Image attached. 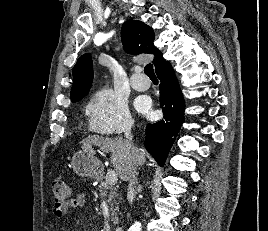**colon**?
Masks as SVG:
<instances>
[{"instance_id":"5ec220e1","label":"colon","mask_w":268,"mask_h":231,"mask_svg":"<svg viewBox=\"0 0 268 231\" xmlns=\"http://www.w3.org/2000/svg\"><path fill=\"white\" fill-rule=\"evenodd\" d=\"M51 197L55 208L66 211L70 202V189L62 180H54L51 183Z\"/></svg>"}]
</instances>
